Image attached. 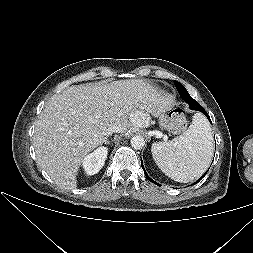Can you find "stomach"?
Masks as SVG:
<instances>
[{
  "label": "stomach",
  "mask_w": 253,
  "mask_h": 253,
  "mask_svg": "<svg viewBox=\"0 0 253 253\" xmlns=\"http://www.w3.org/2000/svg\"><path fill=\"white\" fill-rule=\"evenodd\" d=\"M168 119H169V116L165 112L160 114V120L158 123V127L161 130H164L167 127Z\"/></svg>",
  "instance_id": "stomach-1"
}]
</instances>
